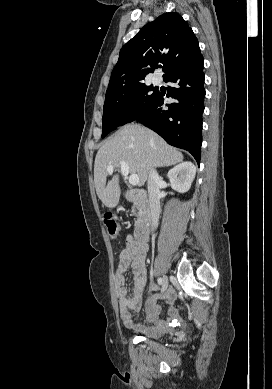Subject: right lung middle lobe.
I'll use <instances>...</instances> for the list:
<instances>
[{
  "mask_svg": "<svg viewBox=\"0 0 272 389\" xmlns=\"http://www.w3.org/2000/svg\"><path fill=\"white\" fill-rule=\"evenodd\" d=\"M159 91L143 82L106 93L102 138L117 127L132 122L159 96Z\"/></svg>",
  "mask_w": 272,
  "mask_h": 389,
  "instance_id": "right-lung-middle-lobe-1",
  "label": "right lung middle lobe"
}]
</instances>
